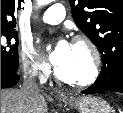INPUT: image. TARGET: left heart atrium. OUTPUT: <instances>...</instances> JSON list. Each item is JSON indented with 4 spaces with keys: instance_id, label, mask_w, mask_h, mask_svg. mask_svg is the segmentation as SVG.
<instances>
[{
    "instance_id": "1",
    "label": "left heart atrium",
    "mask_w": 123,
    "mask_h": 113,
    "mask_svg": "<svg viewBox=\"0 0 123 113\" xmlns=\"http://www.w3.org/2000/svg\"><path fill=\"white\" fill-rule=\"evenodd\" d=\"M71 45L66 40H60L50 55V60L55 66L63 64L69 56Z\"/></svg>"
}]
</instances>
